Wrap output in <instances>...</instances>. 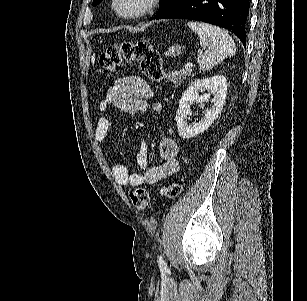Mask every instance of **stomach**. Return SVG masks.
<instances>
[{
    "mask_svg": "<svg viewBox=\"0 0 307 301\" xmlns=\"http://www.w3.org/2000/svg\"><path fill=\"white\" fill-rule=\"evenodd\" d=\"M183 46L180 44H173V46H169L168 50H166V56H179L182 52Z\"/></svg>",
    "mask_w": 307,
    "mask_h": 301,
    "instance_id": "0dacf381",
    "label": "stomach"
}]
</instances>
